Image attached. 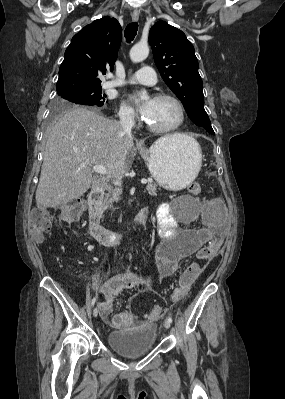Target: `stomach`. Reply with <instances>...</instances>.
<instances>
[{
  "instance_id": "0dacf381",
  "label": "stomach",
  "mask_w": 285,
  "mask_h": 399,
  "mask_svg": "<svg viewBox=\"0 0 285 399\" xmlns=\"http://www.w3.org/2000/svg\"><path fill=\"white\" fill-rule=\"evenodd\" d=\"M142 156L152 177L168 190H181L197 177L202 152L193 138L181 135L157 140Z\"/></svg>"
}]
</instances>
